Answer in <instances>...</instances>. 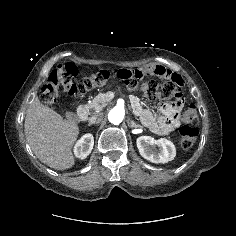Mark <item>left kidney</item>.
I'll use <instances>...</instances> for the list:
<instances>
[{
	"label": "left kidney",
	"instance_id": "left-kidney-1",
	"mask_svg": "<svg viewBox=\"0 0 236 236\" xmlns=\"http://www.w3.org/2000/svg\"><path fill=\"white\" fill-rule=\"evenodd\" d=\"M136 143L140 155L153 163L164 164L176 156L174 144L166 138L155 140L151 136H140Z\"/></svg>",
	"mask_w": 236,
	"mask_h": 236
}]
</instances>
